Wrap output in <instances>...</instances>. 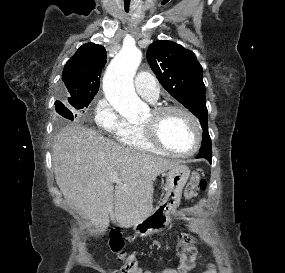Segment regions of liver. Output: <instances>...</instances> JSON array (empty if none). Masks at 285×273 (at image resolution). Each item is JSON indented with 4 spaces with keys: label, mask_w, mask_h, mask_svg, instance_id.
Segmentation results:
<instances>
[{
    "label": "liver",
    "mask_w": 285,
    "mask_h": 273,
    "mask_svg": "<svg viewBox=\"0 0 285 273\" xmlns=\"http://www.w3.org/2000/svg\"><path fill=\"white\" fill-rule=\"evenodd\" d=\"M178 161L130 150L81 125L64 127L53 144L55 180L65 200L104 233L110 218L130 227L153 211V181ZM119 182L114 188L113 173Z\"/></svg>",
    "instance_id": "6515ba94"
}]
</instances>
